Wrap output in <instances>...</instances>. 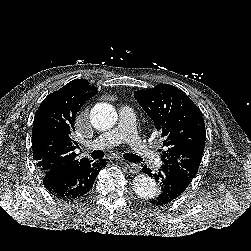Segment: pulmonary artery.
I'll list each match as a JSON object with an SVG mask.
<instances>
[{
    "mask_svg": "<svg viewBox=\"0 0 251 251\" xmlns=\"http://www.w3.org/2000/svg\"><path fill=\"white\" fill-rule=\"evenodd\" d=\"M123 141L127 142L152 168L160 166L161 162L158 155L151 149L150 145L144 143L138 136L135 115L128 107H123L120 110V123L118 127L104 133L99 139L94 140L90 144L104 148L115 146Z\"/></svg>",
    "mask_w": 251,
    "mask_h": 251,
    "instance_id": "pulmonary-artery-1",
    "label": "pulmonary artery"
}]
</instances>
